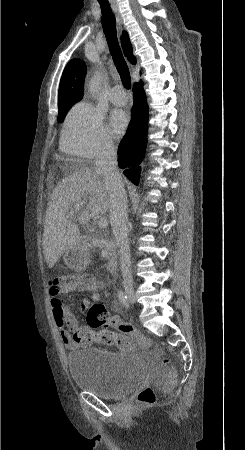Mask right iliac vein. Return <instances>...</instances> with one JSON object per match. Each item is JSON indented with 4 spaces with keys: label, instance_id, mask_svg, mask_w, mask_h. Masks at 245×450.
<instances>
[{
    "label": "right iliac vein",
    "instance_id": "obj_1",
    "mask_svg": "<svg viewBox=\"0 0 245 450\" xmlns=\"http://www.w3.org/2000/svg\"><path fill=\"white\" fill-rule=\"evenodd\" d=\"M124 290H125V293H126V296L129 300V302L134 304L136 301V298H135L133 286L127 284L124 286Z\"/></svg>",
    "mask_w": 245,
    "mask_h": 450
}]
</instances>
